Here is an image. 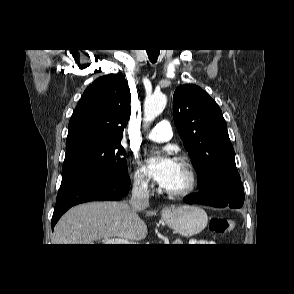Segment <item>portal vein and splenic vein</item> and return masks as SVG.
<instances>
[{"mask_svg": "<svg viewBox=\"0 0 294 294\" xmlns=\"http://www.w3.org/2000/svg\"><path fill=\"white\" fill-rule=\"evenodd\" d=\"M102 244L127 245V244H136V243L131 242L127 239H123V238H108V239H103Z\"/></svg>", "mask_w": 294, "mask_h": 294, "instance_id": "18ae733b", "label": "portal vein and splenic vein"}]
</instances>
